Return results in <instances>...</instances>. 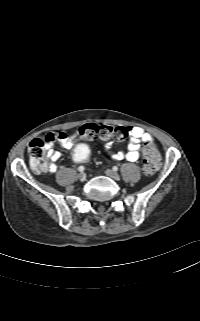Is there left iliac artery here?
Listing matches in <instances>:
<instances>
[{
    "label": "left iliac artery",
    "instance_id": "1",
    "mask_svg": "<svg viewBox=\"0 0 200 321\" xmlns=\"http://www.w3.org/2000/svg\"><path fill=\"white\" fill-rule=\"evenodd\" d=\"M113 170H114V171H117V170H118V167H117V166H114V167H113Z\"/></svg>",
    "mask_w": 200,
    "mask_h": 321
}]
</instances>
